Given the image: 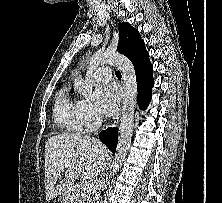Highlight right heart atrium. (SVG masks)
<instances>
[{"instance_id":"right-heart-atrium-1","label":"right heart atrium","mask_w":222,"mask_h":203,"mask_svg":"<svg viewBox=\"0 0 222 203\" xmlns=\"http://www.w3.org/2000/svg\"><path fill=\"white\" fill-rule=\"evenodd\" d=\"M79 112L83 126H86L87 128H92L96 125L98 115L90 102L86 100H80Z\"/></svg>"}]
</instances>
